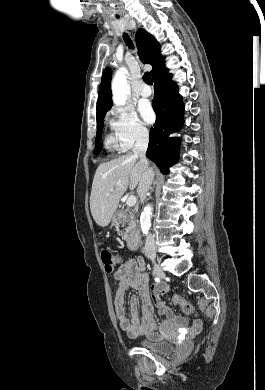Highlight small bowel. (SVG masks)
<instances>
[{"label": "small bowel", "mask_w": 265, "mask_h": 390, "mask_svg": "<svg viewBox=\"0 0 265 390\" xmlns=\"http://www.w3.org/2000/svg\"><path fill=\"white\" fill-rule=\"evenodd\" d=\"M119 268L114 273L117 281V289L114 300V310L120 329L129 337L146 335L157 338L158 333L154 330V307L157 306L169 322L182 328L189 335H196L202 329V322L199 319L192 321L187 327V321L183 317L174 315L162 301V295L166 292L165 284H155L151 288L148 284L146 265L141 256L118 258ZM129 288L137 291L129 301V314L125 309V294ZM141 302V317L139 316L138 303Z\"/></svg>", "instance_id": "small-bowel-1"}]
</instances>
